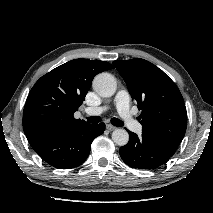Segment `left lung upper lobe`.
<instances>
[{
	"label": "left lung upper lobe",
	"mask_w": 213,
	"mask_h": 213,
	"mask_svg": "<svg viewBox=\"0 0 213 213\" xmlns=\"http://www.w3.org/2000/svg\"><path fill=\"white\" fill-rule=\"evenodd\" d=\"M113 64L142 110V132L178 146L185 135L187 112L176 84L157 66L141 58Z\"/></svg>",
	"instance_id": "obj_1"
}]
</instances>
